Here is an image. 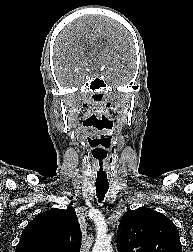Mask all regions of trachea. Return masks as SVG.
<instances>
[{
  "instance_id": "trachea-1",
  "label": "trachea",
  "mask_w": 193,
  "mask_h": 252,
  "mask_svg": "<svg viewBox=\"0 0 193 252\" xmlns=\"http://www.w3.org/2000/svg\"><path fill=\"white\" fill-rule=\"evenodd\" d=\"M95 185H96V192H97L98 200L99 202H101L104 199L105 194L107 193L109 189V184L98 183Z\"/></svg>"
}]
</instances>
